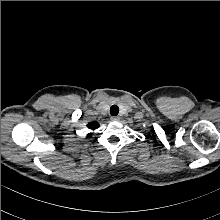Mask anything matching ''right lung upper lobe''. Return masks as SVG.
Masks as SVG:
<instances>
[{"label": "right lung upper lobe", "instance_id": "1", "mask_svg": "<svg viewBox=\"0 0 220 220\" xmlns=\"http://www.w3.org/2000/svg\"><path fill=\"white\" fill-rule=\"evenodd\" d=\"M87 127L89 129H97L99 127V124L97 122H90ZM92 134H89L88 137H90Z\"/></svg>", "mask_w": 220, "mask_h": 220}]
</instances>
